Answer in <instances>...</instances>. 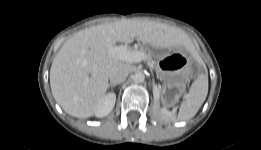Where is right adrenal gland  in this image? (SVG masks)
Listing matches in <instances>:
<instances>
[{
    "instance_id": "right-adrenal-gland-1",
    "label": "right adrenal gland",
    "mask_w": 261,
    "mask_h": 150,
    "mask_svg": "<svg viewBox=\"0 0 261 150\" xmlns=\"http://www.w3.org/2000/svg\"><path fill=\"white\" fill-rule=\"evenodd\" d=\"M115 86H117V84L111 82V83H109L108 88H110V87H115Z\"/></svg>"
}]
</instances>
